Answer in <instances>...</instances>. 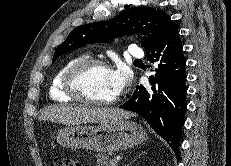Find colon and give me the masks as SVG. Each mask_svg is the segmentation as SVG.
Returning a JSON list of instances; mask_svg holds the SVG:
<instances>
[{
	"label": "colon",
	"mask_w": 231,
	"mask_h": 166,
	"mask_svg": "<svg viewBox=\"0 0 231 166\" xmlns=\"http://www.w3.org/2000/svg\"><path fill=\"white\" fill-rule=\"evenodd\" d=\"M55 166H82V165L74 160L58 157L55 159Z\"/></svg>",
	"instance_id": "obj_1"
}]
</instances>
